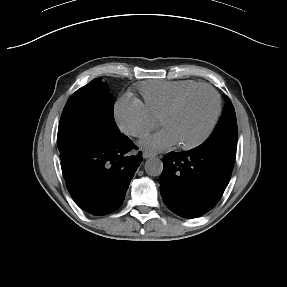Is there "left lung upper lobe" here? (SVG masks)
Segmentation results:
<instances>
[{"instance_id":"left-lung-upper-lobe-1","label":"left lung upper lobe","mask_w":287,"mask_h":287,"mask_svg":"<svg viewBox=\"0 0 287 287\" xmlns=\"http://www.w3.org/2000/svg\"><path fill=\"white\" fill-rule=\"evenodd\" d=\"M237 138L238 128L235 110L230 99L226 97V108L223 116L212 134L200 147L213 152L233 168Z\"/></svg>"}]
</instances>
